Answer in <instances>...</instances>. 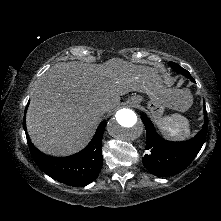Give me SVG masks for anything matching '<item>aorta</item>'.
Returning <instances> with one entry per match:
<instances>
[{
  "instance_id": "aorta-1",
  "label": "aorta",
  "mask_w": 221,
  "mask_h": 221,
  "mask_svg": "<svg viewBox=\"0 0 221 221\" xmlns=\"http://www.w3.org/2000/svg\"><path fill=\"white\" fill-rule=\"evenodd\" d=\"M107 131L118 140L132 141L142 134L143 125L133 110L122 108L108 121Z\"/></svg>"
}]
</instances>
